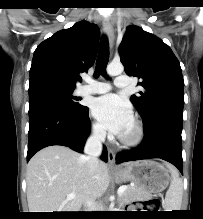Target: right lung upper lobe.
Wrapping results in <instances>:
<instances>
[{"label": "right lung upper lobe", "mask_w": 203, "mask_h": 219, "mask_svg": "<svg viewBox=\"0 0 203 219\" xmlns=\"http://www.w3.org/2000/svg\"><path fill=\"white\" fill-rule=\"evenodd\" d=\"M99 28L79 21L56 32L36 48L30 68V82L52 80L76 87L80 72L94 63L98 50Z\"/></svg>", "instance_id": "obj_1"}]
</instances>
